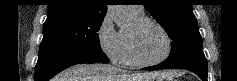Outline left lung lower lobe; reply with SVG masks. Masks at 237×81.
<instances>
[{"instance_id": "0a47b994", "label": "left lung lower lobe", "mask_w": 237, "mask_h": 81, "mask_svg": "<svg viewBox=\"0 0 237 81\" xmlns=\"http://www.w3.org/2000/svg\"><path fill=\"white\" fill-rule=\"evenodd\" d=\"M186 69L195 74H197L202 81H207L208 67L206 58H194L189 59L176 64H165L164 62L144 68V70H153V69Z\"/></svg>"}]
</instances>
